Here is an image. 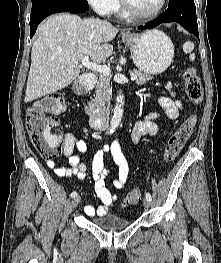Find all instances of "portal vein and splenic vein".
Wrapping results in <instances>:
<instances>
[{"mask_svg": "<svg viewBox=\"0 0 221 263\" xmlns=\"http://www.w3.org/2000/svg\"><path fill=\"white\" fill-rule=\"evenodd\" d=\"M81 62H82V66L86 67L87 69L98 72L104 76H109V74H110V68L108 66L100 65V64L94 63V62H90L89 56H85ZM136 79H137V75L132 74L131 80L134 81Z\"/></svg>", "mask_w": 221, "mask_h": 263, "instance_id": "obj_1", "label": "portal vein and splenic vein"}]
</instances>
